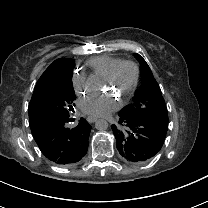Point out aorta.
Returning <instances> with one entry per match:
<instances>
[{
    "mask_svg": "<svg viewBox=\"0 0 208 208\" xmlns=\"http://www.w3.org/2000/svg\"><path fill=\"white\" fill-rule=\"evenodd\" d=\"M95 128L98 130H106L108 128V122L105 119H98L95 122Z\"/></svg>",
    "mask_w": 208,
    "mask_h": 208,
    "instance_id": "aorta-1",
    "label": "aorta"
}]
</instances>
